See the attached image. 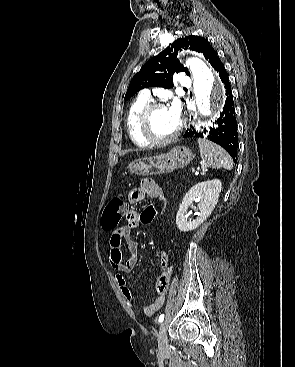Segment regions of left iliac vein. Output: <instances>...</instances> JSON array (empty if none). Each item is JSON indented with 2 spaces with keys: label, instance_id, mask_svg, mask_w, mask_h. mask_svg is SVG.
<instances>
[{
  "label": "left iliac vein",
  "instance_id": "obj_1",
  "mask_svg": "<svg viewBox=\"0 0 295 367\" xmlns=\"http://www.w3.org/2000/svg\"><path fill=\"white\" fill-rule=\"evenodd\" d=\"M167 322L164 321L160 325L159 333H158V348L161 354H165L168 351V339H167Z\"/></svg>",
  "mask_w": 295,
  "mask_h": 367
}]
</instances>
